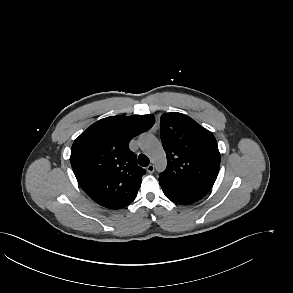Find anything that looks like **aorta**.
I'll return each mask as SVG.
<instances>
[{
	"label": "aorta",
	"mask_w": 293,
	"mask_h": 293,
	"mask_svg": "<svg viewBox=\"0 0 293 293\" xmlns=\"http://www.w3.org/2000/svg\"><path fill=\"white\" fill-rule=\"evenodd\" d=\"M141 147L148 154L158 170L165 168V153L157 138L152 135L143 136L141 138Z\"/></svg>",
	"instance_id": "obj_1"
}]
</instances>
